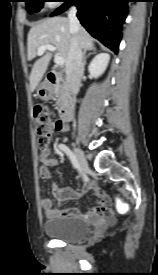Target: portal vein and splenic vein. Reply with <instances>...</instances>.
I'll list each match as a JSON object with an SVG mask.
<instances>
[{
	"label": "portal vein and splenic vein",
	"instance_id": "portal-vein-and-splenic-vein-1",
	"mask_svg": "<svg viewBox=\"0 0 158 275\" xmlns=\"http://www.w3.org/2000/svg\"><path fill=\"white\" fill-rule=\"evenodd\" d=\"M51 51V52H54L56 50V48L53 46V45H50V44H46V45H42L38 48L37 50V55H43L45 51ZM56 65L58 66H62L64 65V58L61 57V56H56L55 59H54Z\"/></svg>",
	"mask_w": 158,
	"mask_h": 275
}]
</instances>
